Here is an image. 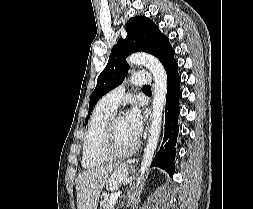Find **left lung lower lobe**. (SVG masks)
<instances>
[{
	"label": "left lung lower lobe",
	"instance_id": "obj_1",
	"mask_svg": "<svg viewBox=\"0 0 253 209\" xmlns=\"http://www.w3.org/2000/svg\"><path fill=\"white\" fill-rule=\"evenodd\" d=\"M177 69L178 64L176 61L166 69L168 87L166 95L165 135L162 146L151 164V166L164 169L171 176L175 171L174 160L179 132V99L181 98V91L179 89L181 79Z\"/></svg>",
	"mask_w": 253,
	"mask_h": 209
}]
</instances>
